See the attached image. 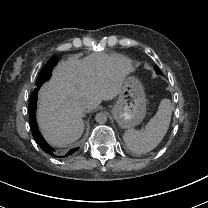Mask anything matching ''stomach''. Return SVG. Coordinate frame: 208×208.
<instances>
[{
	"label": "stomach",
	"mask_w": 208,
	"mask_h": 208,
	"mask_svg": "<svg viewBox=\"0 0 208 208\" xmlns=\"http://www.w3.org/2000/svg\"><path fill=\"white\" fill-rule=\"evenodd\" d=\"M146 110L143 88L131 77L126 81L115 105L111 108V115L122 129L130 130L144 120Z\"/></svg>",
	"instance_id": "stomach-1"
}]
</instances>
